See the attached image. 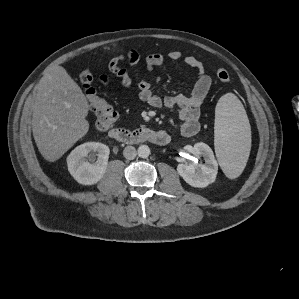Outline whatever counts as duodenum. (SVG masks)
<instances>
[{"mask_svg": "<svg viewBox=\"0 0 299 299\" xmlns=\"http://www.w3.org/2000/svg\"><path fill=\"white\" fill-rule=\"evenodd\" d=\"M109 136L124 144H136L141 142H152L165 145L170 141L168 134L164 131H155L148 127L126 129L116 127L109 132Z\"/></svg>", "mask_w": 299, "mask_h": 299, "instance_id": "duodenum-1", "label": "duodenum"}]
</instances>
